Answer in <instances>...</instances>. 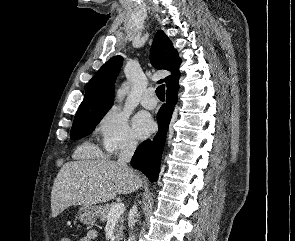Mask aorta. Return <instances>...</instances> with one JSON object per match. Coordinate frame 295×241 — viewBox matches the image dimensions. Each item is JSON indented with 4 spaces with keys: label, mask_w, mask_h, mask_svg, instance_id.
Segmentation results:
<instances>
[{
    "label": "aorta",
    "mask_w": 295,
    "mask_h": 241,
    "mask_svg": "<svg viewBox=\"0 0 295 241\" xmlns=\"http://www.w3.org/2000/svg\"><path fill=\"white\" fill-rule=\"evenodd\" d=\"M129 91V85L127 82L123 83L120 89L117 91L116 100L121 102L124 99V96Z\"/></svg>",
    "instance_id": "762f6f07"
}]
</instances>
